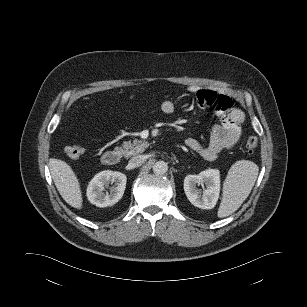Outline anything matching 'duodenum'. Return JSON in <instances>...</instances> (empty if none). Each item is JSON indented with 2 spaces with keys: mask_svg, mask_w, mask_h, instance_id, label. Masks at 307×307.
Wrapping results in <instances>:
<instances>
[{
  "mask_svg": "<svg viewBox=\"0 0 307 307\" xmlns=\"http://www.w3.org/2000/svg\"><path fill=\"white\" fill-rule=\"evenodd\" d=\"M120 153L117 150H107L103 153L101 161L106 166H114L120 161Z\"/></svg>",
  "mask_w": 307,
  "mask_h": 307,
  "instance_id": "1",
  "label": "duodenum"
}]
</instances>
